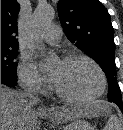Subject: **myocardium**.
Masks as SVG:
<instances>
[{
	"instance_id": "f54148a6",
	"label": "myocardium",
	"mask_w": 123,
	"mask_h": 130,
	"mask_svg": "<svg viewBox=\"0 0 123 130\" xmlns=\"http://www.w3.org/2000/svg\"><path fill=\"white\" fill-rule=\"evenodd\" d=\"M62 60L63 61L84 60V61L88 62L89 64H91L99 74L100 87L95 94L88 96V97L78 98V97H72V96L65 94L57 87V85L54 83V81L51 80L52 89H53L54 93L61 100L69 102V103H88V102H92V101L100 98L103 95V93L105 92L106 87H107V79H106V75H105L103 69L94 59H92L91 57H89L85 54L70 53V54L65 55L62 58Z\"/></svg>"
}]
</instances>
